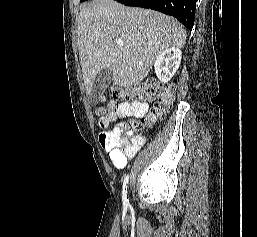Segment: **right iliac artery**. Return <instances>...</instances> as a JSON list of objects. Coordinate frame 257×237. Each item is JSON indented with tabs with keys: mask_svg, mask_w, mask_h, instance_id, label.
<instances>
[{
	"mask_svg": "<svg viewBox=\"0 0 257 237\" xmlns=\"http://www.w3.org/2000/svg\"><path fill=\"white\" fill-rule=\"evenodd\" d=\"M128 179L129 176H125L124 181H123V191H122V200H123V204L124 206H128L129 201H128V192H127V188H128Z\"/></svg>",
	"mask_w": 257,
	"mask_h": 237,
	"instance_id": "right-iliac-artery-1",
	"label": "right iliac artery"
}]
</instances>
